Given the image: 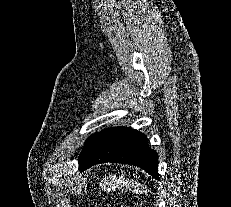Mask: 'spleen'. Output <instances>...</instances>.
Listing matches in <instances>:
<instances>
[{
    "instance_id": "3e777b00",
    "label": "spleen",
    "mask_w": 231,
    "mask_h": 207,
    "mask_svg": "<svg viewBox=\"0 0 231 207\" xmlns=\"http://www.w3.org/2000/svg\"><path fill=\"white\" fill-rule=\"evenodd\" d=\"M109 186H110V189L124 188L125 190L131 191L136 194H141L142 192H145L146 190V187H144L139 182L134 181L132 179H125L121 177L112 180L109 183Z\"/></svg>"
}]
</instances>
